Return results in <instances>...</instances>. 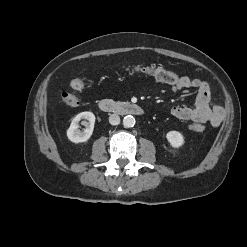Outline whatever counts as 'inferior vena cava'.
<instances>
[{"instance_id":"obj_1","label":"inferior vena cava","mask_w":247,"mask_h":247,"mask_svg":"<svg viewBox=\"0 0 247 247\" xmlns=\"http://www.w3.org/2000/svg\"><path fill=\"white\" fill-rule=\"evenodd\" d=\"M109 123L111 125H118L120 123V117L117 114H112L109 116Z\"/></svg>"}]
</instances>
